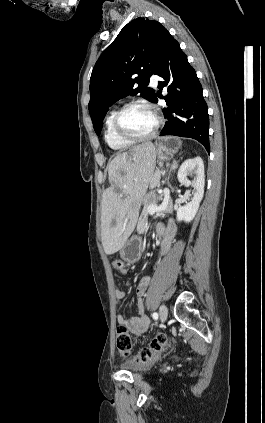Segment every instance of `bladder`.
I'll use <instances>...</instances> for the list:
<instances>
[{"mask_svg":"<svg viewBox=\"0 0 265 423\" xmlns=\"http://www.w3.org/2000/svg\"><path fill=\"white\" fill-rule=\"evenodd\" d=\"M145 368H146V366H142V367H138V368H133V369H131V371L132 372H140V371L144 370Z\"/></svg>","mask_w":265,"mask_h":423,"instance_id":"1","label":"bladder"}]
</instances>
